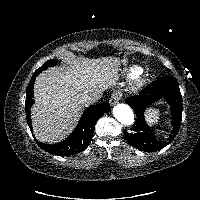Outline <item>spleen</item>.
<instances>
[{"label":"spleen","mask_w":200,"mask_h":200,"mask_svg":"<svg viewBox=\"0 0 200 200\" xmlns=\"http://www.w3.org/2000/svg\"><path fill=\"white\" fill-rule=\"evenodd\" d=\"M159 116V109L156 108H148L145 112L146 120L150 126L158 123Z\"/></svg>","instance_id":"obj_1"}]
</instances>
